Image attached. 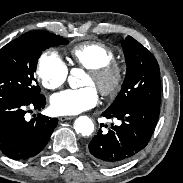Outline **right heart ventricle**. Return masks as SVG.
<instances>
[{
    "instance_id": "obj_1",
    "label": "right heart ventricle",
    "mask_w": 183,
    "mask_h": 183,
    "mask_svg": "<svg viewBox=\"0 0 183 183\" xmlns=\"http://www.w3.org/2000/svg\"><path fill=\"white\" fill-rule=\"evenodd\" d=\"M70 56L75 64L90 70L113 61L115 52L104 43L90 41L74 46Z\"/></svg>"
}]
</instances>
